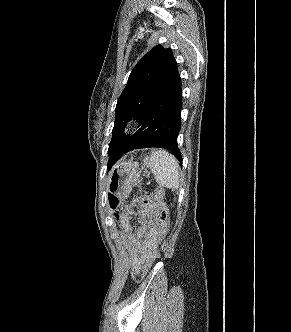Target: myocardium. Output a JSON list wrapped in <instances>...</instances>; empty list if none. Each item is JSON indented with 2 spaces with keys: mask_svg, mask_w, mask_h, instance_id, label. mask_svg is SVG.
<instances>
[{
  "mask_svg": "<svg viewBox=\"0 0 291 332\" xmlns=\"http://www.w3.org/2000/svg\"><path fill=\"white\" fill-rule=\"evenodd\" d=\"M132 131H133V126L127 125V126H125V128L123 130V133L124 134H130Z\"/></svg>",
  "mask_w": 291,
  "mask_h": 332,
  "instance_id": "obj_1",
  "label": "myocardium"
}]
</instances>
